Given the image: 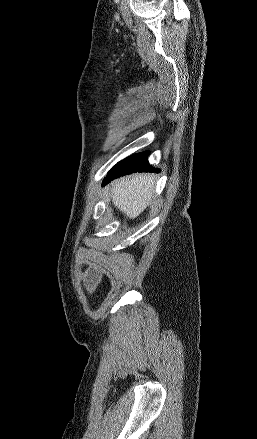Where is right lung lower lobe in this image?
Here are the masks:
<instances>
[{"mask_svg":"<svg viewBox=\"0 0 257 439\" xmlns=\"http://www.w3.org/2000/svg\"><path fill=\"white\" fill-rule=\"evenodd\" d=\"M148 155L149 151H145L120 161L109 171L107 177L103 181V185H106L115 178L130 174L132 172H159V169H153L148 164Z\"/></svg>","mask_w":257,"mask_h":439,"instance_id":"right-lung-lower-lobe-1","label":"right lung lower lobe"}]
</instances>
